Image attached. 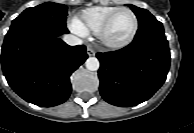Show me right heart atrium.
I'll use <instances>...</instances> for the list:
<instances>
[{
	"label": "right heart atrium",
	"instance_id": "right-heart-atrium-1",
	"mask_svg": "<svg viewBox=\"0 0 194 133\" xmlns=\"http://www.w3.org/2000/svg\"><path fill=\"white\" fill-rule=\"evenodd\" d=\"M70 29L77 35L84 36L87 32L85 26L76 18L69 23Z\"/></svg>",
	"mask_w": 194,
	"mask_h": 133
}]
</instances>
